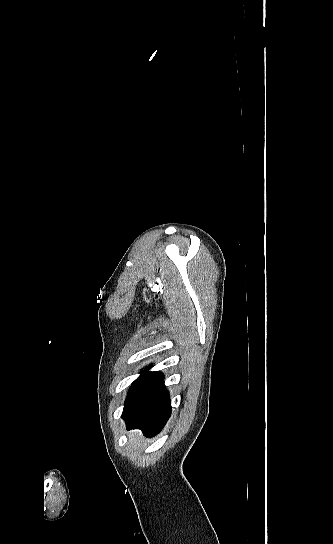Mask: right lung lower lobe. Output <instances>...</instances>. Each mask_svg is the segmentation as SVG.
I'll return each mask as SVG.
<instances>
[{
	"mask_svg": "<svg viewBox=\"0 0 333 544\" xmlns=\"http://www.w3.org/2000/svg\"><path fill=\"white\" fill-rule=\"evenodd\" d=\"M140 372L128 391L122 418L127 429H140L149 437L158 434L171 415L169 391L162 372Z\"/></svg>",
	"mask_w": 333,
	"mask_h": 544,
	"instance_id": "obj_1",
	"label": "right lung lower lobe"
}]
</instances>
